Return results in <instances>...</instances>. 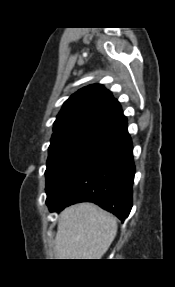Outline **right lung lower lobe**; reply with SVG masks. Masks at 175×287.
Returning <instances> with one entry per match:
<instances>
[{"mask_svg": "<svg viewBox=\"0 0 175 287\" xmlns=\"http://www.w3.org/2000/svg\"><path fill=\"white\" fill-rule=\"evenodd\" d=\"M127 121L80 159L47 194L49 210L93 202L122 222L132 208L135 166Z\"/></svg>", "mask_w": 175, "mask_h": 287, "instance_id": "1", "label": "right lung lower lobe"}]
</instances>
